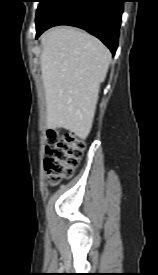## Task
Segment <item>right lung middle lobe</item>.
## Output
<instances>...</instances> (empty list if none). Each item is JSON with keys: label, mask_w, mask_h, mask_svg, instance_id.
I'll return each mask as SVG.
<instances>
[{"label": "right lung middle lobe", "mask_w": 158, "mask_h": 275, "mask_svg": "<svg viewBox=\"0 0 158 275\" xmlns=\"http://www.w3.org/2000/svg\"><path fill=\"white\" fill-rule=\"evenodd\" d=\"M57 0H39L36 13V24L43 18L47 11L56 3Z\"/></svg>", "instance_id": "right-lung-middle-lobe-1"}]
</instances>
